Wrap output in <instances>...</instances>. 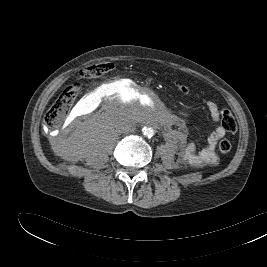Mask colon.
Instances as JSON below:
<instances>
[{"label":"colon","mask_w":267,"mask_h":267,"mask_svg":"<svg viewBox=\"0 0 267 267\" xmlns=\"http://www.w3.org/2000/svg\"><path fill=\"white\" fill-rule=\"evenodd\" d=\"M110 63L96 64L83 68L80 75L84 78H92L99 76L109 70ZM178 89L182 94H188V88L183 85H178ZM80 91V85L74 83L68 85L59 95V97L52 103V105L46 111L44 121L48 128H55L65 119L69 109L73 105L78 93ZM221 121L222 125L229 132H235L237 124L233 114L227 109H221ZM219 151L222 154H227L231 150V142L228 139H222L219 143Z\"/></svg>","instance_id":"5ec220e1"}]
</instances>
